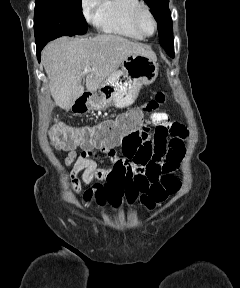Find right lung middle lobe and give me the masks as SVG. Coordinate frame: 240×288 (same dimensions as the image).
I'll return each instance as SVG.
<instances>
[{"label":"right lung middle lobe","mask_w":240,"mask_h":288,"mask_svg":"<svg viewBox=\"0 0 240 288\" xmlns=\"http://www.w3.org/2000/svg\"><path fill=\"white\" fill-rule=\"evenodd\" d=\"M87 32L81 0H36L34 33L36 46L57 37Z\"/></svg>","instance_id":"1"}]
</instances>
